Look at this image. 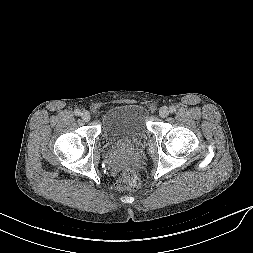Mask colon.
Returning a JSON list of instances; mask_svg holds the SVG:
<instances>
[{
    "label": "colon",
    "instance_id": "colon-1",
    "mask_svg": "<svg viewBox=\"0 0 253 253\" xmlns=\"http://www.w3.org/2000/svg\"><path fill=\"white\" fill-rule=\"evenodd\" d=\"M140 181L136 173L130 169L126 168L122 172V178L117 184L119 190H135L139 187Z\"/></svg>",
    "mask_w": 253,
    "mask_h": 253
}]
</instances>
